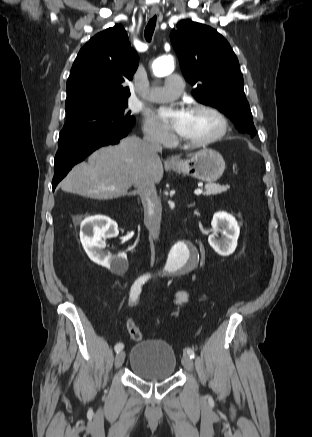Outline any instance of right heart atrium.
I'll return each instance as SVG.
<instances>
[{
	"label": "right heart atrium",
	"instance_id": "1",
	"mask_svg": "<svg viewBox=\"0 0 312 437\" xmlns=\"http://www.w3.org/2000/svg\"><path fill=\"white\" fill-rule=\"evenodd\" d=\"M143 132L148 139L160 145H169L173 139L169 131L151 118L144 121Z\"/></svg>",
	"mask_w": 312,
	"mask_h": 437
}]
</instances>
